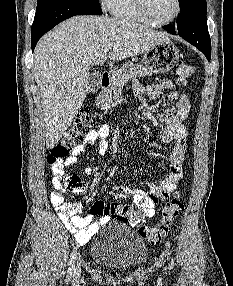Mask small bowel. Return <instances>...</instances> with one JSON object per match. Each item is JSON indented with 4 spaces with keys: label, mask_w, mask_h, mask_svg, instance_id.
I'll return each mask as SVG.
<instances>
[{
    "label": "small bowel",
    "mask_w": 233,
    "mask_h": 286,
    "mask_svg": "<svg viewBox=\"0 0 233 286\" xmlns=\"http://www.w3.org/2000/svg\"><path fill=\"white\" fill-rule=\"evenodd\" d=\"M175 89L170 80L143 86L134 84L136 96H145L150 100H156L162 96L165 90ZM190 112V100L187 95L181 94L177 103L170 109L158 115L159 120L166 123L165 128L160 132L159 139L163 143H173L170 153V169L159 185L149 183L147 189L131 188L125 185L115 187L116 191L130 195L133 205L137 206L142 215L152 217L155 213V205L160 200H164L176 189L178 181L181 179L182 164L187 152V129L184 125ZM99 140L98 150L101 155H106L109 150V127L101 123L94 129L87 132L77 144L70 156L58 163V168L63 170L64 166L74 165L78 161V156L84 151L85 146L93 144ZM87 174L92 173L90 167H85ZM52 180L53 191L50 194L51 204L58 213L61 220L73 234L77 243L83 245L87 243L100 229L111 219L116 218L124 223H130L129 208L131 206L119 203L95 202L91 207V213L87 216H79L83 210V204L78 202H66L64 200L65 189L62 187L58 175L53 171ZM98 219L94 221V217Z\"/></svg>",
    "instance_id": "c3829d8e"
}]
</instances>
